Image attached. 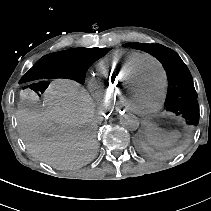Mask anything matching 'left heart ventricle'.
Listing matches in <instances>:
<instances>
[{
  "label": "left heart ventricle",
  "instance_id": "left-heart-ventricle-1",
  "mask_svg": "<svg viewBox=\"0 0 211 211\" xmlns=\"http://www.w3.org/2000/svg\"><path fill=\"white\" fill-rule=\"evenodd\" d=\"M161 85L160 68L153 61H145L129 83L126 101L131 107L147 109L158 100Z\"/></svg>",
  "mask_w": 211,
  "mask_h": 211
}]
</instances>
